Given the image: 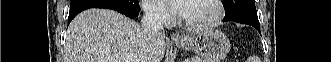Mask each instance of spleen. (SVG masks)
Segmentation results:
<instances>
[{
    "instance_id": "1",
    "label": "spleen",
    "mask_w": 331,
    "mask_h": 62,
    "mask_svg": "<svg viewBox=\"0 0 331 62\" xmlns=\"http://www.w3.org/2000/svg\"><path fill=\"white\" fill-rule=\"evenodd\" d=\"M254 60V61H253ZM256 58L255 57H252V58H249L248 59V62H255Z\"/></svg>"
}]
</instances>
